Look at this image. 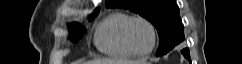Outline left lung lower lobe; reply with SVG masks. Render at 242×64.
Returning a JSON list of instances; mask_svg holds the SVG:
<instances>
[{
  "instance_id": "left-lung-lower-lobe-1",
  "label": "left lung lower lobe",
  "mask_w": 242,
  "mask_h": 64,
  "mask_svg": "<svg viewBox=\"0 0 242 64\" xmlns=\"http://www.w3.org/2000/svg\"><path fill=\"white\" fill-rule=\"evenodd\" d=\"M181 53L184 55V57H185L186 59L189 60V62H191V59H190V53H189L188 48L183 49V50L181 51Z\"/></svg>"
}]
</instances>
